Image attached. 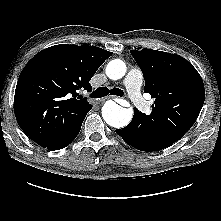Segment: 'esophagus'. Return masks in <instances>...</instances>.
Returning <instances> with one entry per match:
<instances>
[{
	"label": "esophagus",
	"mask_w": 221,
	"mask_h": 221,
	"mask_svg": "<svg viewBox=\"0 0 221 221\" xmlns=\"http://www.w3.org/2000/svg\"><path fill=\"white\" fill-rule=\"evenodd\" d=\"M110 98V97H109ZM108 99V97H105V98H102L100 101L101 102H104L105 100H107Z\"/></svg>",
	"instance_id": "1"
}]
</instances>
